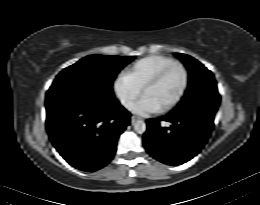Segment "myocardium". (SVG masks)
Returning <instances> with one entry per match:
<instances>
[{
  "mask_svg": "<svg viewBox=\"0 0 260 205\" xmlns=\"http://www.w3.org/2000/svg\"><path fill=\"white\" fill-rule=\"evenodd\" d=\"M174 69H180L184 74V83L183 86L178 93V95L170 101L167 105L160 107L159 110L162 112H167L172 109H174L177 105L181 103V101L184 99L186 93L189 90L190 83H191V75L189 70L181 63H175L172 64L161 71H159L157 74H155L153 77H151L146 84L143 87V94H146V92L157 85L169 72H171Z\"/></svg>",
  "mask_w": 260,
  "mask_h": 205,
  "instance_id": "1",
  "label": "myocardium"
}]
</instances>
